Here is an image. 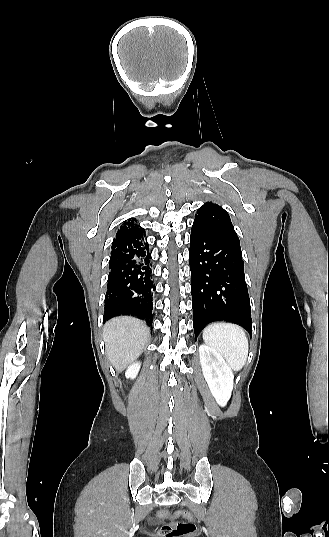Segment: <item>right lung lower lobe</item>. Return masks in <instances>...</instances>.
Listing matches in <instances>:
<instances>
[{
  "label": "right lung lower lobe",
  "instance_id": "98d812e1",
  "mask_svg": "<svg viewBox=\"0 0 329 537\" xmlns=\"http://www.w3.org/2000/svg\"><path fill=\"white\" fill-rule=\"evenodd\" d=\"M145 230L114 240L105 297L104 321L119 315L153 320L155 284Z\"/></svg>",
  "mask_w": 329,
  "mask_h": 537
}]
</instances>
